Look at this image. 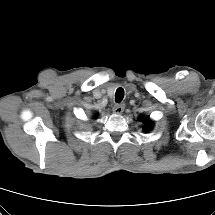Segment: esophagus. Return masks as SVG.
Masks as SVG:
<instances>
[{"mask_svg": "<svg viewBox=\"0 0 215 215\" xmlns=\"http://www.w3.org/2000/svg\"><path fill=\"white\" fill-rule=\"evenodd\" d=\"M124 104H115L113 107V112L116 114H121L124 111Z\"/></svg>", "mask_w": 215, "mask_h": 215, "instance_id": "34e87169", "label": "esophagus"}]
</instances>
